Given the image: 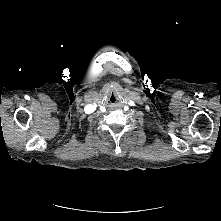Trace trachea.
<instances>
[{"mask_svg": "<svg viewBox=\"0 0 221 221\" xmlns=\"http://www.w3.org/2000/svg\"><path fill=\"white\" fill-rule=\"evenodd\" d=\"M111 99H113V100L115 101V98H114V96H112V98H111ZM114 101H113V102H114Z\"/></svg>", "mask_w": 221, "mask_h": 221, "instance_id": "trachea-1", "label": "trachea"}]
</instances>
